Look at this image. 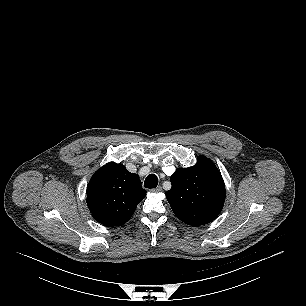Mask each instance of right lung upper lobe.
I'll list each match as a JSON object with an SVG mask.
<instances>
[{
	"label": "right lung upper lobe",
	"mask_w": 306,
	"mask_h": 306,
	"mask_svg": "<svg viewBox=\"0 0 306 306\" xmlns=\"http://www.w3.org/2000/svg\"><path fill=\"white\" fill-rule=\"evenodd\" d=\"M146 196L137 174L124 165L109 162L92 176L87 205L95 220L105 226H121Z\"/></svg>",
	"instance_id": "1"
}]
</instances>
